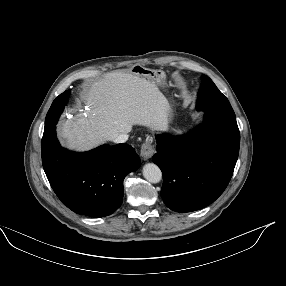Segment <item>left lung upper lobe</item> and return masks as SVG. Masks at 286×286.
<instances>
[{
    "mask_svg": "<svg viewBox=\"0 0 286 286\" xmlns=\"http://www.w3.org/2000/svg\"><path fill=\"white\" fill-rule=\"evenodd\" d=\"M198 93L197 110L213 111L235 117V113L228 99L218 90L213 81L206 75Z\"/></svg>",
    "mask_w": 286,
    "mask_h": 286,
    "instance_id": "obj_1",
    "label": "left lung upper lobe"
}]
</instances>
